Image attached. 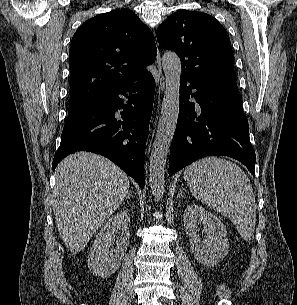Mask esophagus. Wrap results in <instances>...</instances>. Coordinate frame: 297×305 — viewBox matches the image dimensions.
Segmentation results:
<instances>
[{
  "instance_id": "obj_1",
  "label": "esophagus",
  "mask_w": 297,
  "mask_h": 305,
  "mask_svg": "<svg viewBox=\"0 0 297 305\" xmlns=\"http://www.w3.org/2000/svg\"><path fill=\"white\" fill-rule=\"evenodd\" d=\"M156 63H157V66H158L159 74H161V72H162V70H161V57H160L159 51H157ZM160 87L161 88L164 87V83H161Z\"/></svg>"
}]
</instances>
